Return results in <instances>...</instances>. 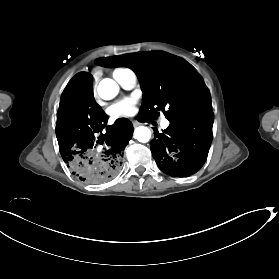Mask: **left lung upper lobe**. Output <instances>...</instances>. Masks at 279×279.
<instances>
[{"instance_id":"obj_1","label":"left lung upper lobe","mask_w":279,"mask_h":279,"mask_svg":"<svg viewBox=\"0 0 279 279\" xmlns=\"http://www.w3.org/2000/svg\"><path fill=\"white\" fill-rule=\"evenodd\" d=\"M95 63L107 68L128 67L136 73L143 90L139 115L148 119L158 116L159 110L169 121L212 113L205 83L181 58L153 51L99 58Z\"/></svg>"}]
</instances>
